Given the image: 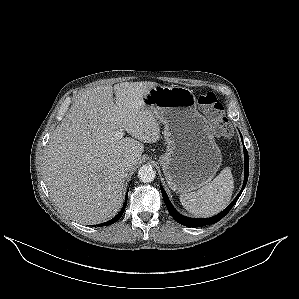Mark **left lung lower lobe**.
I'll list each match as a JSON object with an SVG mask.
<instances>
[{
	"mask_svg": "<svg viewBox=\"0 0 299 299\" xmlns=\"http://www.w3.org/2000/svg\"><path fill=\"white\" fill-rule=\"evenodd\" d=\"M241 135V133H240ZM241 139L243 142V138L241 135ZM243 149H244V161H245V179L243 182V186L242 189L240 191V193L237 195V197L232 201V203L226 208L224 209L221 213H219L218 215L211 217V218H202V219H195V218H188L185 216H182L181 214H179L174 207L171 205L163 187L161 186V192H162V196L164 199V202L166 204V207L168 209V211L170 212V214L172 215V217L180 224L188 226V227H200V226H204V225H209V224H213L218 222L220 219H222L230 210L231 208L234 206V204L237 202L238 198L240 197L241 193L243 192L247 180H248V174H249V158H248V152L246 150V147L243 144Z\"/></svg>",
	"mask_w": 299,
	"mask_h": 299,
	"instance_id": "0a47b994",
	"label": "left lung lower lobe"
}]
</instances>
